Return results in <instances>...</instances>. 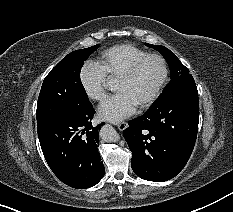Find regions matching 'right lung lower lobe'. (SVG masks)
<instances>
[{
  "mask_svg": "<svg viewBox=\"0 0 233 212\" xmlns=\"http://www.w3.org/2000/svg\"><path fill=\"white\" fill-rule=\"evenodd\" d=\"M92 105L65 116L38 131L45 159L53 173L66 185L85 189L96 185L105 168L97 149L98 130L92 126Z\"/></svg>",
  "mask_w": 233,
  "mask_h": 212,
  "instance_id": "98d812e1",
  "label": "right lung lower lobe"
}]
</instances>
